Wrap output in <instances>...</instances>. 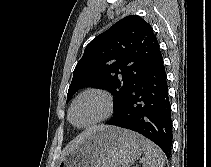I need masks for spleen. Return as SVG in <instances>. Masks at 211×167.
I'll return each instance as SVG.
<instances>
[{"mask_svg":"<svg viewBox=\"0 0 211 167\" xmlns=\"http://www.w3.org/2000/svg\"><path fill=\"white\" fill-rule=\"evenodd\" d=\"M143 167H163L165 159L162 151L150 140L145 141Z\"/></svg>","mask_w":211,"mask_h":167,"instance_id":"1","label":"spleen"}]
</instances>
